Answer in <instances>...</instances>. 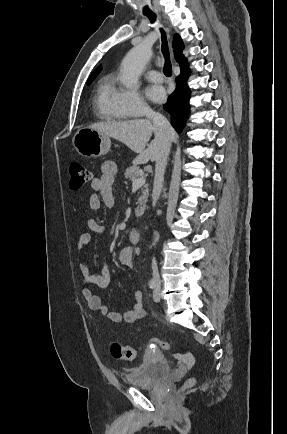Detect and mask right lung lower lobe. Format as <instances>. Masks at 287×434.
<instances>
[{
	"label": "right lung lower lobe",
	"mask_w": 287,
	"mask_h": 434,
	"mask_svg": "<svg viewBox=\"0 0 287 434\" xmlns=\"http://www.w3.org/2000/svg\"><path fill=\"white\" fill-rule=\"evenodd\" d=\"M189 75L190 69L185 62L181 64V74L177 77V87L164 105V109L171 115V124L177 131L184 128L189 114L190 89L187 85Z\"/></svg>",
	"instance_id": "1"
}]
</instances>
